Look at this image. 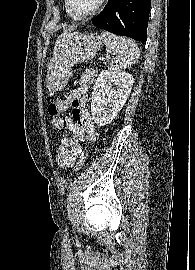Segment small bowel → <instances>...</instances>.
I'll return each mask as SVG.
<instances>
[{
  "instance_id": "small-bowel-1",
  "label": "small bowel",
  "mask_w": 195,
  "mask_h": 270,
  "mask_svg": "<svg viewBox=\"0 0 195 270\" xmlns=\"http://www.w3.org/2000/svg\"><path fill=\"white\" fill-rule=\"evenodd\" d=\"M96 76L95 71H85L79 81V86L70 94L68 107L63 111L71 110L68 116H52L51 125L57 130H68L70 137L62 136L56 150V160L65 169L72 168L82 151L81 143L85 140L94 141L97 132L92 118L87 111L86 99L89 88Z\"/></svg>"
}]
</instances>
